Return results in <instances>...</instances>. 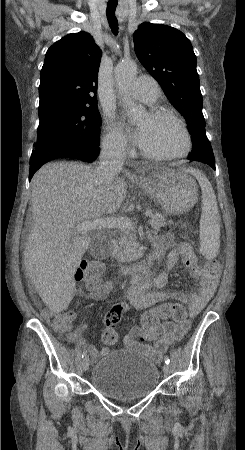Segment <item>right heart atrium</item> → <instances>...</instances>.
Instances as JSON below:
<instances>
[{
  "mask_svg": "<svg viewBox=\"0 0 245 450\" xmlns=\"http://www.w3.org/2000/svg\"><path fill=\"white\" fill-rule=\"evenodd\" d=\"M104 148L114 154L123 155L129 150V141L120 127L111 121H107L105 135L103 137Z\"/></svg>",
  "mask_w": 245,
  "mask_h": 450,
  "instance_id": "1",
  "label": "right heart atrium"
}]
</instances>
